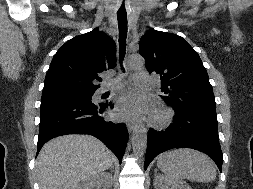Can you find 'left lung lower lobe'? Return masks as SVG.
I'll return each mask as SVG.
<instances>
[{
    "label": "left lung lower lobe",
    "mask_w": 253,
    "mask_h": 189,
    "mask_svg": "<svg viewBox=\"0 0 253 189\" xmlns=\"http://www.w3.org/2000/svg\"><path fill=\"white\" fill-rule=\"evenodd\" d=\"M174 111L173 124L169 128L161 132L149 130L144 169L158 154L172 148L188 147L207 154L221 171L223 155L216 115L190 109Z\"/></svg>",
    "instance_id": "0a47b994"
}]
</instances>
